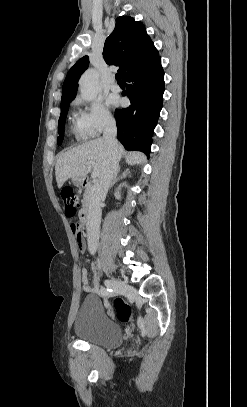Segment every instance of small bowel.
Instances as JSON below:
<instances>
[{
    "label": "small bowel",
    "mask_w": 247,
    "mask_h": 407,
    "mask_svg": "<svg viewBox=\"0 0 247 407\" xmlns=\"http://www.w3.org/2000/svg\"><path fill=\"white\" fill-rule=\"evenodd\" d=\"M77 237V245L80 251H85L86 250V243L83 238V234L81 230L76 234ZM82 284H83V289L87 292H96L97 288L96 286H92L89 284L88 281V272L86 268H83L82 271Z\"/></svg>",
    "instance_id": "c3829d8e"
}]
</instances>
